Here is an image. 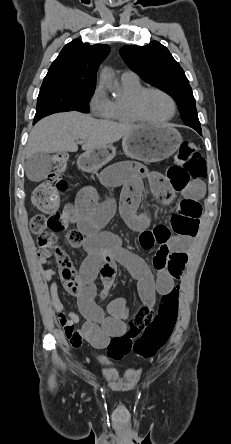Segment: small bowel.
<instances>
[{
    "label": "small bowel",
    "mask_w": 231,
    "mask_h": 444,
    "mask_svg": "<svg viewBox=\"0 0 231 444\" xmlns=\"http://www.w3.org/2000/svg\"><path fill=\"white\" fill-rule=\"evenodd\" d=\"M99 180L106 187H122L118 208L125 222L139 231L141 247L149 250L158 246L153 259L155 275L139 256L123 247L119 236L102 230L114 215L117 202L114 199L99 202L92 187L80 190L75 203L66 206L77 227L68 233V243L71 247L83 248L88 254L79 272L80 291L77 303L84 318L80 327H76L79 315L68 311L59 298L56 272L48 268L49 254L41 250L38 255L43 277L48 284L51 304L58 313L65 336L74 347L87 341L95 348H105L112 337L121 336L127 330L130 310L123 299L110 303L107 314L95 301L94 281L98 275L104 284L100 294V298L104 299L113 283L116 264L123 265L138 281L141 301L152 307L157 294L163 296L174 289L175 280L180 278L185 268L190 237L171 233L158 236L155 230L148 229L147 215L137 212L144 183L147 182L153 195L165 204L171 203L174 193H180L183 199L198 203L205 191L204 184L200 181L177 188L161 174L149 172L134 162H119L107 166L100 172Z\"/></svg>",
    "instance_id": "c3829d8e"
}]
</instances>
